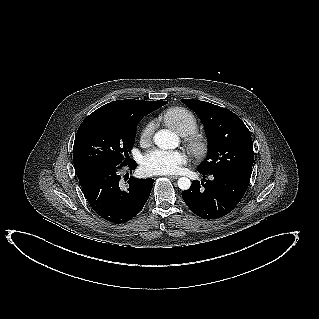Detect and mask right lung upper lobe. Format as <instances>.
Here are the masks:
<instances>
[{"label":"right lung upper lobe","instance_id":"right-lung-upper-lobe-1","mask_svg":"<svg viewBox=\"0 0 319 319\" xmlns=\"http://www.w3.org/2000/svg\"><path fill=\"white\" fill-rule=\"evenodd\" d=\"M164 102L166 101H142L134 99L117 100L98 108L90 115L93 116L100 113L116 112L122 113L123 115H129L133 118L142 119L144 115L163 106L162 104Z\"/></svg>","mask_w":319,"mask_h":319}]
</instances>
